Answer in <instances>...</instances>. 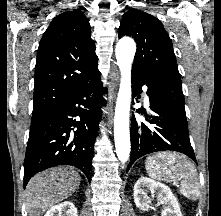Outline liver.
Returning <instances> with one entry per match:
<instances>
[{
  "label": "liver",
  "instance_id": "obj_1",
  "mask_svg": "<svg viewBox=\"0 0 221 216\" xmlns=\"http://www.w3.org/2000/svg\"><path fill=\"white\" fill-rule=\"evenodd\" d=\"M81 177L68 166L42 171L26 187V209L29 216H40L55 204L70 197L79 187Z\"/></svg>",
  "mask_w": 221,
  "mask_h": 216
}]
</instances>
